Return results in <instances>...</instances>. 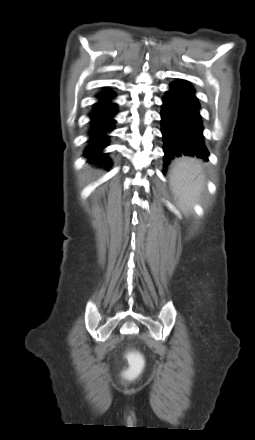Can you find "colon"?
Instances as JSON below:
<instances>
[{
    "mask_svg": "<svg viewBox=\"0 0 255 440\" xmlns=\"http://www.w3.org/2000/svg\"><path fill=\"white\" fill-rule=\"evenodd\" d=\"M126 357L131 362V367L127 372V376L131 378L136 376L141 371L142 359L137 351H129Z\"/></svg>",
    "mask_w": 255,
    "mask_h": 440,
    "instance_id": "colon-1",
    "label": "colon"
}]
</instances>
